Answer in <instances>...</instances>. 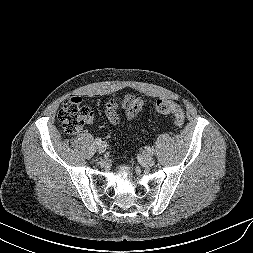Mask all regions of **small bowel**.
I'll return each instance as SVG.
<instances>
[{
  "label": "small bowel",
  "mask_w": 253,
  "mask_h": 253,
  "mask_svg": "<svg viewBox=\"0 0 253 253\" xmlns=\"http://www.w3.org/2000/svg\"><path fill=\"white\" fill-rule=\"evenodd\" d=\"M143 106V100L132 94H127L122 98H114L105 105V115L109 122L116 125L120 121L118 110L120 108L125 110V115L128 120L136 117Z\"/></svg>",
  "instance_id": "c3829d8e"
}]
</instances>
